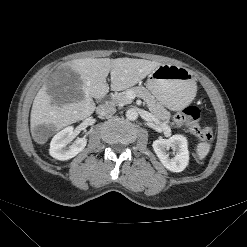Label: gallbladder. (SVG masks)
I'll use <instances>...</instances> for the list:
<instances>
[{
  "label": "gallbladder",
  "instance_id": "bac80fb5",
  "mask_svg": "<svg viewBox=\"0 0 247 247\" xmlns=\"http://www.w3.org/2000/svg\"><path fill=\"white\" fill-rule=\"evenodd\" d=\"M80 84L79 75L63 65L48 77L46 91L52 101L59 105L78 99Z\"/></svg>",
  "mask_w": 247,
  "mask_h": 247
}]
</instances>
